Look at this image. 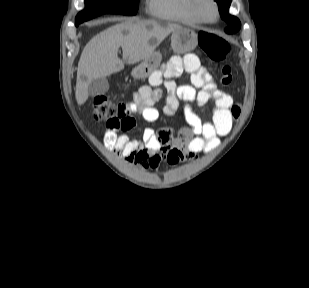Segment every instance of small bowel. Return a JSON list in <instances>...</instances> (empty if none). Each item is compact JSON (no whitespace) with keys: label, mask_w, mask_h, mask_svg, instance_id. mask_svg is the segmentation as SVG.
Masks as SVG:
<instances>
[{"label":"small bowel","mask_w":309,"mask_h":288,"mask_svg":"<svg viewBox=\"0 0 309 288\" xmlns=\"http://www.w3.org/2000/svg\"><path fill=\"white\" fill-rule=\"evenodd\" d=\"M183 72L189 76L190 83L177 86L171 78ZM161 84L167 92L162 114L174 116L183 102L185 118L191 129L181 128L177 137H173L167 130L146 128L140 139H131L119 132L132 128L134 124L119 121L106 123L105 147L142 169L156 170L162 162L176 167L186 158L194 160L198 154L216 149L220 139L227 136L232 128L233 98L217 89L212 75L193 53L171 57L162 75H154L149 85L141 86L133 94L132 101L123 104L127 112H138L147 122L158 120L161 112L155 103L162 97ZM191 103L197 106L212 104L211 119L201 122Z\"/></svg>","instance_id":"obj_1"}]
</instances>
